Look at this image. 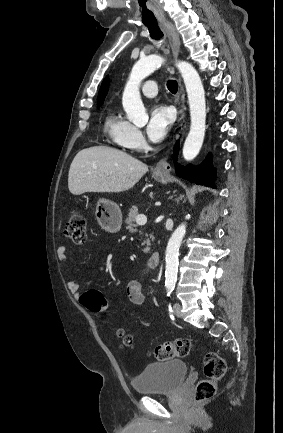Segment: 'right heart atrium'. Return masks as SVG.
Returning <instances> with one entry per match:
<instances>
[{
	"label": "right heart atrium",
	"instance_id": "1",
	"mask_svg": "<svg viewBox=\"0 0 283 433\" xmlns=\"http://www.w3.org/2000/svg\"><path fill=\"white\" fill-rule=\"evenodd\" d=\"M119 143L121 145H136L138 149H142L145 146V141L140 130L131 125L119 140Z\"/></svg>",
	"mask_w": 283,
	"mask_h": 433
}]
</instances>
